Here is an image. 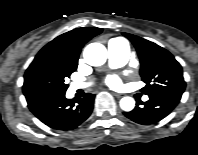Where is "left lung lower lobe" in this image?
<instances>
[{"label": "left lung lower lobe", "instance_id": "0a47b994", "mask_svg": "<svg viewBox=\"0 0 198 155\" xmlns=\"http://www.w3.org/2000/svg\"><path fill=\"white\" fill-rule=\"evenodd\" d=\"M181 96L173 94H158L149 96L146 102H140L143 107L136 106L124 115L132 121L148 125L165 118L180 102Z\"/></svg>", "mask_w": 198, "mask_h": 155}]
</instances>
